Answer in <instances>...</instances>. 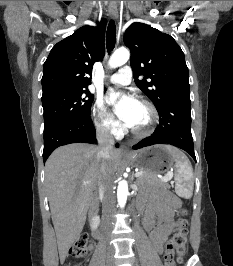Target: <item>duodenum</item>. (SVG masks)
<instances>
[{
  "label": "duodenum",
  "mask_w": 233,
  "mask_h": 266,
  "mask_svg": "<svg viewBox=\"0 0 233 266\" xmlns=\"http://www.w3.org/2000/svg\"><path fill=\"white\" fill-rule=\"evenodd\" d=\"M97 214H98V203L95 200V201L92 202V205H91V217H92L93 221L97 217ZM92 235L95 238H98L99 235H100L98 228H96L95 226L92 228Z\"/></svg>",
  "instance_id": "duodenum-1"
}]
</instances>
